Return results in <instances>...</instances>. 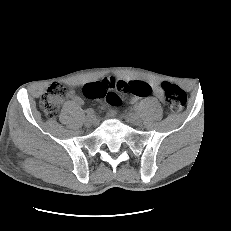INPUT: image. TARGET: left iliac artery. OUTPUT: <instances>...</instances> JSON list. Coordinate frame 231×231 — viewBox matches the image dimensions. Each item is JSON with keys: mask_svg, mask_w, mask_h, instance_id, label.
Listing matches in <instances>:
<instances>
[{"mask_svg": "<svg viewBox=\"0 0 231 231\" xmlns=\"http://www.w3.org/2000/svg\"><path fill=\"white\" fill-rule=\"evenodd\" d=\"M132 110H133L134 112H137V111L139 110V107H138L137 105H134V106L132 107Z\"/></svg>", "mask_w": 231, "mask_h": 231, "instance_id": "1", "label": "left iliac artery"}]
</instances>
